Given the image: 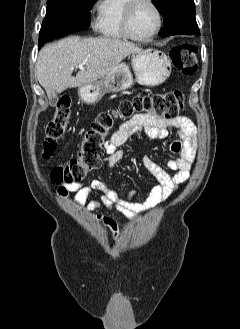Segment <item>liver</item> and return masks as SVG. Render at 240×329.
Here are the masks:
<instances>
[{"mask_svg": "<svg viewBox=\"0 0 240 329\" xmlns=\"http://www.w3.org/2000/svg\"><path fill=\"white\" fill-rule=\"evenodd\" d=\"M141 51L134 43L119 39L71 36L41 49L36 75L51 99L67 88L101 79L128 55ZM80 64L85 69L73 77L74 68Z\"/></svg>", "mask_w": 240, "mask_h": 329, "instance_id": "6515ba94", "label": "liver"}]
</instances>
